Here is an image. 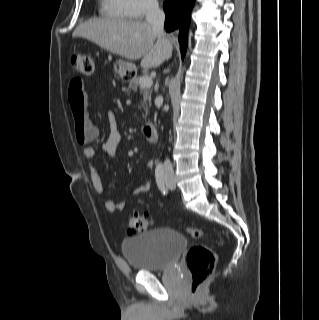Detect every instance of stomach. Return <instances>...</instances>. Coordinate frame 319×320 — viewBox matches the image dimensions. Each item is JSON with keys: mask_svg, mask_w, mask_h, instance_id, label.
Returning a JSON list of instances; mask_svg holds the SVG:
<instances>
[{"mask_svg": "<svg viewBox=\"0 0 319 320\" xmlns=\"http://www.w3.org/2000/svg\"><path fill=\"white\" fill-rule=\"evenodd\" d=\"M113 71L116 76L120 79L124 78H131L135 72V68L132 63L124 61V60H117L114 63Z\"/></svg>", "mask_w": 319, "mask_h": 320, "instance_id": "0dacf381", "label": "stomach"}]
</instances>
